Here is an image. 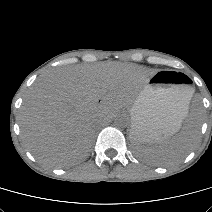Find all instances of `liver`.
Listing matches in <instances>:
<instances>
[{
    "instance_id": "obj_1",
    "label": "liver",
    "mask_w": 212,
    "mask_h": 212,
    "mask_svg": "<svg viewBox=\"0 0 212 212\" xmlns=\"http://www.w3.org/2000/svg\"><path fill=\"white\" fill-rule=\"evenodd\" d=\"M152 75L120 62L57 68L43 75L20 109L24 146L44 165L74 164L87 155L97 124L131 105Z\"/></svg>"
}]
</instances>
